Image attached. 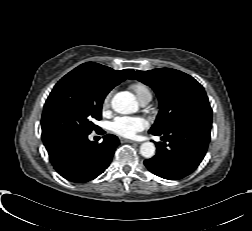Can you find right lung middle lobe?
<instances>
[{
  "label": "right lung middle lobe",
  "mask_w": 252,
  "mask_h": 231,
  "mask_svg": "<svg viewBox=\"0 0 252 231\" xmlns=\"http://www.w3.org/2000/svg\"><path fill=\"white\" fill-rule=\"evenodd\" d=\"M112 87L75 73L64 76L53 88L41 119L45 147L65 138L88 135L99 127L102 103Z\"/></svg>",
  "instance_id": "1"
}]
</instances>
